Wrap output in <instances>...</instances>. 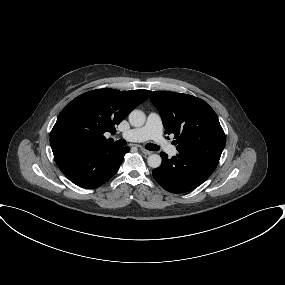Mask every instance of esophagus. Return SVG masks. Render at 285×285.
<instances>
[{
	"label": "esophagus",
	"mask_w": 285,
	"mask_h": 285,
	"mask_svg": "<svg viewBox=\"0 0 285 285\" xmlns=\"http://www.w3.org/2000/svg\"><path fill=\"white\" fill-rule=\"evenodd\" d=\"M140 150H141V152H142L143 154H145V155H151V154H152L151 151L146 150V149H144V148H141Z\"/></svg>",
	"instance_id": "obj_1"
}]
</instances>
